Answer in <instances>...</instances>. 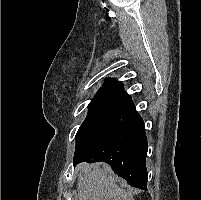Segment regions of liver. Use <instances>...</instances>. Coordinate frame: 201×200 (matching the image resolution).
I'll use <instances>...</instances> for the list:
<instances>
[{"label":"liver","mask_w":201,"mask_h":200,"mask_svg":"<svg viewBox=\"0 0 201 200\" xmlns=\"http://www.w3.org/2000/svg\"><path fill=\"white\" fill-rule=\"evenodd\" d=\"M77 171L79 200H134L131 194L115 183L109 166L81 164Z\"/></svg>","instance_id":"1"}]
</instances>
